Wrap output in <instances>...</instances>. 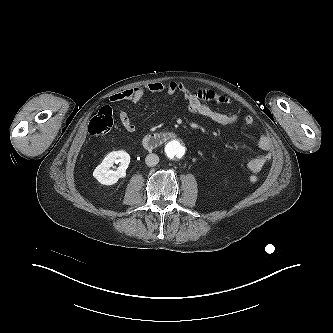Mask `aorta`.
<instances>
[{
  "instance_id": "1",
  "label": "aorta",
  "mask_w": 333,
  "mask_h": 333,
  "mask_svg": "<svg viewBox=\"0 0 333 333\" xmlns=\"http://www.w3.org/2000/svg\"><path fill=\"white\" fill-rule=\"evenodd\" d=\"M166 154L170 159H179L185 153L183 145L179 141H171L166 145Z\"/></svg>"
}]
</instances>
